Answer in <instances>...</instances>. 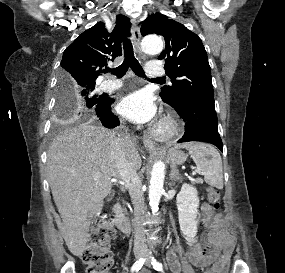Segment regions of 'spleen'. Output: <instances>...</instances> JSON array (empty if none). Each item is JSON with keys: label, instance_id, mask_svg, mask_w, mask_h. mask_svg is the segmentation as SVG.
<instances>
[{"label": "spleen", "instance_id": "spleen-1", "mask_svg": "<svg viewBox=\"0 0 285 273\" xmlns=\"http://www.w3.org/2000/svg\"><path fill=\"white\" fill-rule=\"evenodd\" d=\"M178 147L189 151L197 168L204 173L207 184L218 189L223 188L222 160L213 146L201 142H187Z\"/></svg>", "mask_w": 285, "mask_h": 273}]
</instances>
